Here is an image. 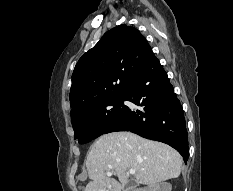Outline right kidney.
<instances>
[{"label": "right kidney", "mask_w": 233, "mask_h": 191, "mask_svg": "<svg viewBox=\"0 0 233 191\" xmlns=\"http://www.w3.org/2000/svg\"><path fill=\"white\" fill-rule=\"evenodd\" d=\"M172 185L167 182L156 184L152 186L148 191H171Z\"/></svg>", "instance_id": "right-kidney-1"}]
</instances>
